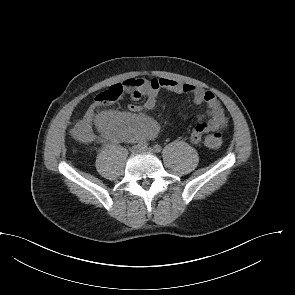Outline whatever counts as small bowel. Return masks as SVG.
I'll return each instance as SVG.
<instances>
[{"instance_id":"c3829d8e","label":"small bowel","mask_w":295,"mask_h":295,"mask_svg":"<svg viewBox=\"0 0 295 295\" xmlns=\"http://www.w3.org/2000/svg\"><path fill=\"white\" fill-rule=\"evenodd\" d=\"M132 86L127 87L133 100L138 101L145 97L143 104H129L130 112L104 111L97 117V126L106 136L120 141H136L152 138L156 135L158 127L156 122L148 117L145 112L153 110L161 90L174 93L190 94L196 105L204 104L207 108L205 115L200 116V121L195 125L190 141L193 144L201 142L205 134L220 133L225 129L228 118L217 96L198 86L182 83L168 78L158 79H133Z\"/></svg>"}]
</instances>
